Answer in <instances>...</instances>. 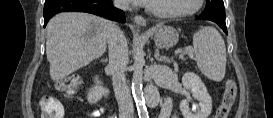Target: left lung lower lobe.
<instances>
[{
	"label": "left lung lower lobe",
	"instance_id": "0a47b994",
	"mask_svg": "<svg viewBox=\"0 0 273 118\" xmlns=\"http://www.w3.org/2000/svg\"><path fill=\"white\" fill-rule=\"evenodd\" d=\"M198 19L210 20V21H213V22L217 23L222 28V30L227 34V28H226L225 22L220 21V20L210 19V18H204V17H201V16H199Z\"/></svg>",
	"mask_w": 273,
	"mask_h": 118
}]
</instances>
